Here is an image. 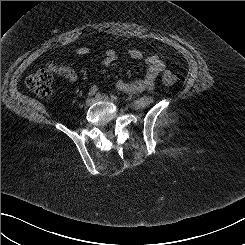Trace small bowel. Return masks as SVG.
<instances>
[{
	"label": "small bowel",
	"instance_id": "obj_1",
	"mask_svg": "<svg viewBox=\"0 0 245 245\" xmlns=\"http://www.w3.org/2000/svg\"><path fill=\"white\" fill-rule=\"evenodd\" d=\"M87 49L78 48L74 51V55L81 56L87 54ZM129 58L135 61H142L147 66L146 72L143 78L135 81H124L118 79L114 81V87L120 92L126 94H137L141 92H151L155 89V80L165 69L164 62L157 55L144 56V54L138 49H132L128 52ZM122 61L121 57L113 50H107L104 54L103 64L110 66L116 62ZM48 68L56 73L58 76L74 82L77 80L78 75L76 71L68 66L62 65L56 58H52L47 62ZM97 91L96 86L90 88V94H94Z\"/></svg>",
	"mask_w": 245,
	"mask_h": 245
}]
</instances>
